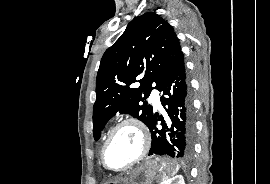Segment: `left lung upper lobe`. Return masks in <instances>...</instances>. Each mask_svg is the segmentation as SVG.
<instances>
[{
  "label": "left lung upper lobe",
  "mask_w": 270,
  "mask_h": 184,
  "mask_svg": "<svg viewBox=\"0 0 270 184\" xmlns=\"http://www.w3.org/2000/svg\"><path fill=\"white\" fill-rule=\"evenodd\" d=\"M180 52L179 39L172 26L156 13H145L128 24L100 62L93 107L95 140L117 112L128 113L149 125L152 106L139 102L149 96L152 84L158 89ZM136 82L141 85L133 88Z\"/></svg>",
  "instance_id": "5c2ea615"
}]
</instances>
